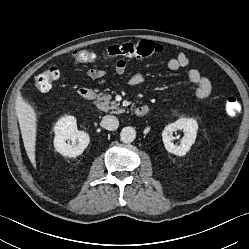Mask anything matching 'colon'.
<instances>
[{
  "mask_svg": "<svg viewBox=\"0 0 249 249\" xmlns=\"http://www.w3.org/2000/svg\"><path fill=\"white\" fill-rule=\"evenodd\" d=\"M162 48L159 44L150 40H140L128 42L108 47L102 53H95L88 50H79L74 54L77 64L93 63L97 61H107L114 58L123 57L130 59L150 58L158 55ZM59 78V71L55 67L44 70L33 79L32 85L41 92H48ZM241 110L237 98L230 97L224 105V112L228 117L236 116Z\"/></svg>",
  "mask_w": 249,
  "mask_h": 249,
  "instance_id": "5ec220e1",
  "label": "colon"
}]
</instances>
